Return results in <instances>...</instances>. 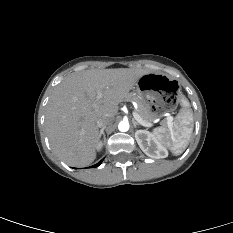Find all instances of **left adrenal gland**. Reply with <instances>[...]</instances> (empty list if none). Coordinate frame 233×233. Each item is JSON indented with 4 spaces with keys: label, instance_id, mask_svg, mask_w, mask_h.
Listing matches in <instances>:
<instances>
[{
    "label": "left adrenal gland",
    "instance_id": "obj_1",
    "mask_svg": "<svg viewBox=\"0 0 233 233\" xmlns=\"http://www.w3.org/2000/svg\"><path fill=\"white\" fill-rule=\"evenodd\" d=\"M132 122H133L134 127H137L139 125L134 119H132Z\"/></svg>",
    "mask_w": 233,
    "mask_h": 233
}]
</instances>
